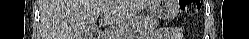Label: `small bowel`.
I'll return each instance as SVG.
<instances>
[{
	"label": "small bowel",
	"mask_w": 249,
	"mask_h": 39,
	"mask_svg": "<svg viewBox=\"0 0 249 39\" xmlns=\"http://www.w3.org/2000/svg\"><path fill=\"white\" fill-rule=\"evenodd\" d=\"M179 33L180 31L176 28H162L156 33L155 39L173 38L174 36H177Z\"/></svg>",
	"instance_id": "c3829d8e"
}]
</instances>
